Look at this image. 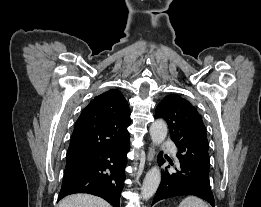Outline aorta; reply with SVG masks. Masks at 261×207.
Returning <instances> with one entry per match:
<instances>
[{"mask_svg": "<svg viewBox=\"0 0 261 207\" xmlns=\"http://www.w3.org/2000/svg\"><path fill=\"white\" fill-rule=\"evenodd\" d=\"M167 124L156 120L150 126V136L155 145L161 144L167 136ZM161 181V172L157 167L151 168L143 181L141 195L144 200L150 199L156 192Z\"/></svg>", "mask_w": 261, "mask_h": 207, "instance_id": "762f6f07", "label": "aorta"}]
</instances>
